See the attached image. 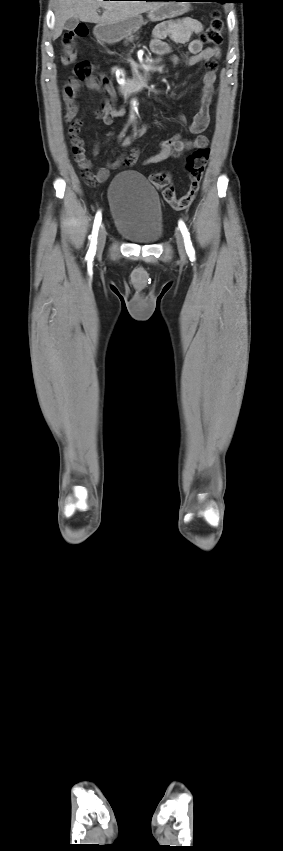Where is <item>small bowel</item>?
<instances>
[{
    "label": "small bowel",
    "mask_w": 283,
    "mask_h": 851,
    "mask_svg": "<svg viewBox=\"0 0 283 851\" xmlns=\"http://www.w3.org/2000/svg\"><path fill=\"white\" fill-rule=\"evenodd\" d=\"M201 31L202 24L198 20L191 18L165 21L157 25L154 30L153 39L151 41V48L154 53L160 56L169 55L171 53V47L164 41V39L170 37L176 43H188V51L191 54L184 61L177 56H171L173 64L195 66L201 65L207 61L208 62L206 64L207 71L203 76V84L198 101L199 110L188 126L189 131L196 135L195 138L187 139L180 135H175L170 139L163 140L159 145L158 151L154 155L145 159L143 161V165L157 164L170 157L177 158L188 150L206 147L208 144V138L203 135L202 132L208 127L210 121L209 107L212 101L214 84L216 81L214 71L217 69L216 61L210 59L218 57L220 50L218 47H204L203 42L200 39L191 40V36L193 34L200 33ZM91 73L92 65L88 62L79 63L74 67V76L66 82L63 90V98L66 107L65 120L67 122H72L68 129V134L72 144L74 159L83 172L84 177L91 183H102L108 179L109 169H115L122 165H134L138 159L139 151L138 149H132L129 153L122 155L118 159L109 161L106 167L98 168H95L92 161L87 157L84 141L80 137L82 123L80 119L76 118L79 111V107L76 103L77 94L83 88L100 93L107 92V95L110 97L115 96L117 93L115 87L110 86L108 82L104 80L101 84L97 78L91 75ZM124 113L125 111L123 108L116 107L110 99H104L101 111L97 114V117L101 119L105 125H111L113 118L123 116ZM180 120L185 122V118L183 116H180ZM147 128V126L144 127L140 131L139 135L143 134ZM133 139L134 137L127 138L123 143L124 146L128 147ZM98 151V145H95L93 154L97 155Z\"/></svg>",
    "instance_id": "obj_1"
}]
</instances>
